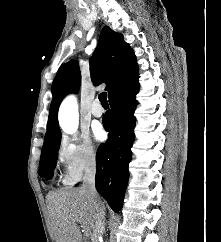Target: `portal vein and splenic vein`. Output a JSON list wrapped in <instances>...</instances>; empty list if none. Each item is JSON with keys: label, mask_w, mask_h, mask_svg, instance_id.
Instances as JSON below:
<instances>
[{"label": "portal vein and splenic vein", "mask_w": 221, "mask_h": 242, "mask_svg": "<svg viewBox=\"0 0 221 242\" xmlns=\"http://www.w3.org/2000/svg\"><path fill=\"white\" fill-rule=\"evenodd\" d=\"M85 235L88 236L89 235V231L85 230Z\"/></svg>", "instance_id": "1"}]
</instances>
